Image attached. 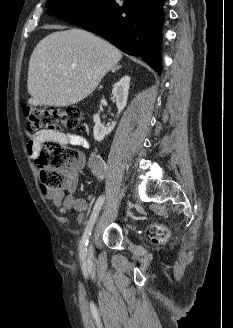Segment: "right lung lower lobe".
<instances>
[{
	"instance_id": "98d812e1",
	"label": "right lung lower lobe",
	"mask_w": 233,
	"mask_h": 328,
	"mask_svg": "<svg viewBox=\"0 0 233 328\" xmlns=\"http://www.w3.org/2000/svg\"><path fill=\"white\" fill-rule=\"evenodd\" d=\"M165 0H100L62 18L99 33L123 52L140 56L161 73L160 42Z\"/></svg>"
}]
</instances>
